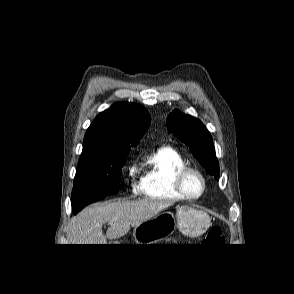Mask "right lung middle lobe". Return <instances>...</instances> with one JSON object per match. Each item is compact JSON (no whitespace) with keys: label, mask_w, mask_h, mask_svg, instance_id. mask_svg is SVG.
Here are the masks:
<instances>
[{"label":"right lung middle lobe","mask_w":294,"mask_h":294,"mask_svg":"<svg viewBox=\"0 0 294 294\" xmlns=\"http://www.w3.org/2000/svg\"><path fill=\"white\" fill-rule=\"evenodd\" d=\"M130 150L106 149L82 151L72 190V206L86 205L117 193L122 167Z\"/></svg>","instance_id":"right-lung-middle-lobe-1"}]
</instances>
